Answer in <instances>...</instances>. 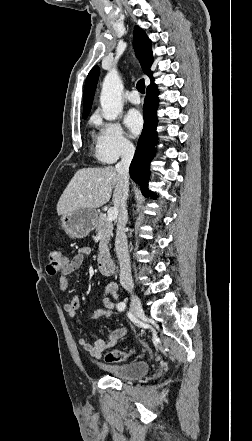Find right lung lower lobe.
Wrapping results in <instances>:
<instances>
[{"instance_id": "obj_1", "label": "right lung lower lobe", "mask_w": 252, "mask_h": 441, "mask_svg": "<svg viewBox=\"0 0 252 441\" xmlns=\"http://www.w3.org/2000/svg\"><path fill=\"white\" fill-rule=\"evenodd\" d=\"M158 107V91L154 82L147 87V94L144 100L143 115L144 129L139 138L134 158L130 165V176L139 184L144 195H149L147 187L149 179L150 161L155 154L157 142V117L156 110Z\"/></svg>"}]
</instances>
